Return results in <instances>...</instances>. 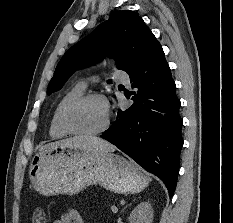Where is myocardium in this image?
<instances>
[{
	"mask_svg": "<svg viewBox=\"0 0 233 223\" xmlns=\"http://www.w3.org/2000/svg\"><path fill=\"white\" fill-rule=\"evenodd\" d=\"M94 99L104 100V97L100 94H95V93L85 94V95H82L74 99L66 106V108L64 109L62 113V125L70 134L80 136V137H95V136L105 133L109 129L110 124H111L109 117H107L105 124L99 130L95 132H83L74 126L73 114L76 111V109L80 107L81 105H83L84 103L94 100Z\"/></svg>",
	"mask_w": 233,
	"mask_h": 223,
	"instance_id": "f54148a6",
	"label": "myocardium"
}]
</instances>
